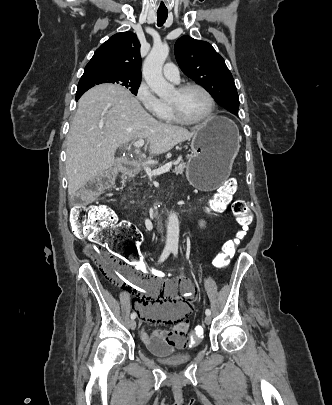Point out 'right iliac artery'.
<instances>
[{
    "mask_svg": "<svg viewBox=\"0 0 332 405\" xmlns=\"http://www.w3.org/2000/svg\"><path fill=\"white\" fill-rule=\"evenodd\" d=\"M171 251H172L171 248L166 247V248L163 250V252H162V254H161V256H160V258H159V260H158V263H162L164 260H166L167 257L170 255ZM136 317H137V313H136V312H133V313L131 314V319H135Z\"/></svg>",
    "mask_w": 332,
    "mask_h": 405,
    "instance_id": "right-iliac-artery-1",
    "label": "right iliac artery"
}]
</instances>
